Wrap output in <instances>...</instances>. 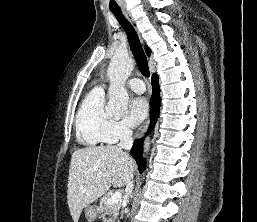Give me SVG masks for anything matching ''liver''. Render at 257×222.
I'll return each mask as SVG.
<instances>
[{"mask_svg":"<svg viewBox=\"0 0 257 222\" xmlns=\"http://www.w3.org/2000/svg\"><path fill=\"white\" fill-rule=\"evenodd\" d=\"M135 169L133 158L118 146H93L74 151L67 185V203L73 221L78 222L83 208L111 186L127 185Z\"/></svg>","mask_w":257,"mask_h":222,"instance_id":"6515ba94","label":"liver"}]
</instances>
